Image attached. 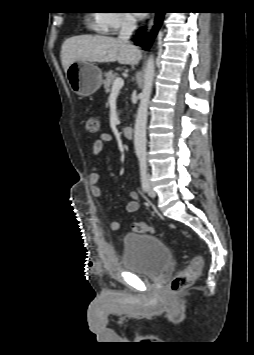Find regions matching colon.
<instances>
[{
    "label": "colon",
    "instance_id": "colon-1",
    "mask_svg": "<svg viewBox=\"0 0 254 355\" xmlns=\"http://www.w3.org/2000/svg\"><path fill=\"white\" fill-rule=\"evenodd\" d=\"M84 126L85 130L90 134H96L99 130L98 120L94 117H88L84 122ZM132 230L136 233L154 232V229L145 222L133 223ZM203 265L204 261L201 256H193L188 266L172 277L170 281V289L173 292H180L189 288L200 275Z\"/></svg>",
    "mask_w": 254,
    "mask_h": 355
}]
</instances>
